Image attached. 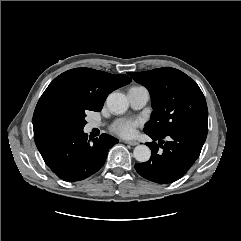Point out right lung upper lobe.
Masks as SVG:
<instances>
[{"label":"right lung upper lobe","mask_w":241,"mask_h":241,"mask_svg":"<svg viewBox=\"0 0 241 241\" xmlns=\"http://www.w3.org/2000/svg\"><path fill=\"white\" fill-rule=\"evenodd\" d=\"M131 82L127 75H113L90 68H75L56 77L40 97L34 114V134L43 117L56 109L71 112L100 111L112 91Z\"/></svg>","instance_id":"obj_1"}]
</instances>
